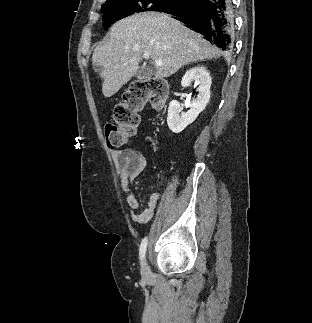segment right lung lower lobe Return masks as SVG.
<instances>
[{"label":"right lung lower lobe","mask_w":312,"mask_h":323,"mask_svg":"<svg viewBox=\"0 0 312 323\" xmlns=\"http://www.w3.org/2000/svg\"><path fill=\"white\" fill-rule=\"evenodd\" d=\"M233 3L230 0H183L162 12L169 13L224 51L234 48Z\"/></svg>","instance_id":"1"}]
</instances>
